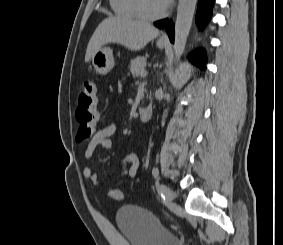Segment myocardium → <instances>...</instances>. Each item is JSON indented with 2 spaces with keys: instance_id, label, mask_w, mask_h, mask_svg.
Here are the masks:
<instances>
[{
  "instance_id": "1",
  "label": "myocardium",
  "mask_w": 283,
  "mask_h": 245,
  "mask_svg": "<svg viewBox=\"0 0 283 245\" xmlns=\"http://www.w3.org/2000/svg\"><path fill=\"white\" fill-rule=\"evenodd\" d=\"M135 7H136V10H137L139 16L142 19L149 20V21L163 18L167 14L168 9H169V6L166 5L165 8L162 11H160L159 13L151 14V13H148L144 9L142 0H135Z\"/></svg>"
}]
</instances>
